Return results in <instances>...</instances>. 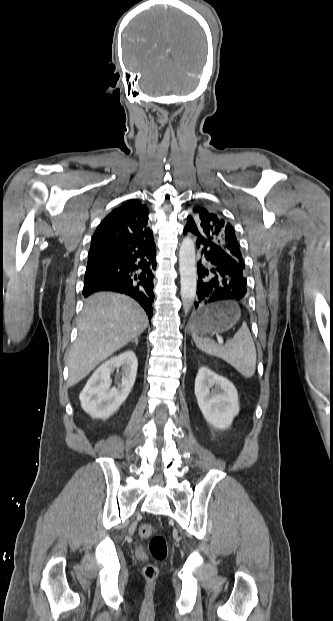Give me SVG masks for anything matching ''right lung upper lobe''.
I'll use <instances>...</instances> for the list:
<instances>
[{
  "label": "right lung upper lobe",
  "mask_w": 333,
  "mask_h": 621,
  "mask_svg": "<svg viewBox=\"0 0 333 621\" xmlns=\"http://www.w3.org/2000/svg\"><path fill=\"white\" fill-rule=\"evenodd\" d=\"M149 211L139 200H129L114 209L93 234L89 253L103 250L140 251L154 245L147 225Z\"/></svg>",
  "instance_id": "obj_1"
}]
</instances>
